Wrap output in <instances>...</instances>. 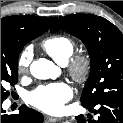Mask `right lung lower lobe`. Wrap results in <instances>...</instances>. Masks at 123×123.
<instances>
[{"label": "right lung lower lobe", "mask_w": 123, "mask_h": 123, "mask_svg": "<svg viewBox=\"0 0 123 123\" xmlns=\"http://www.w3.org/2000/svg\"><path fill=\"white\" fill-rule=\"evenodd\" d=\"M1 101V123H42L44 117L41 113L22 105L18 114H6L2 109Z\"/></svg>", "instance_id": "98d812e1"}]
</instances>
